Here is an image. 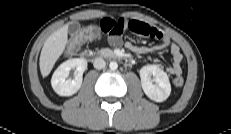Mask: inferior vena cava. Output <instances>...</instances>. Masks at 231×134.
<instances>
[{
  "label": "inferior vena cava",
  "mask_w": 231,
  "mask_h": 134,
  "mask_svg": "<svg viewBox=\"0 0 231 134\" xmlns=\"http://www.w3.org/2000/svg\"><path fill=\"white\" fill-rule=\"evenodd\" d=\"M106 63L104 61L103 58L99 57V58H96L93 62V66L94 68L100 70V69H103L105 67Z\"/></svg>",
  "instance_id": "inferior-vena-cava-1"
}]
</instances>
